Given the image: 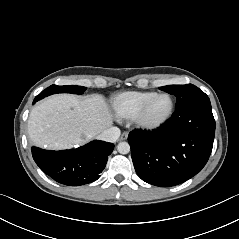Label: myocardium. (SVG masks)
Masks as SVG:
<instances>
[{"label": "myocardium", "mask_w": 239, "mask_h": 239, "mask_svg": "<svg viewBox=\"0 0 239 239\" xmlns=\"http://www.w3.org/2000/svg\"><path fill=\"white\" fill-rule=\"evenodd\" d=\"M167 97L169 100V108L168 111L166 112V114L161 117L158 120H149L147 118V111L151 105V103L159 98V97ZM174 108H175V104H174V100L172 98V96L168 93L165 92H161V93H155L153 94L151 97H149L138 109V111L136 112V114L133 117V120L135 122V124L144 130H156L161 128L162 126H164L172 117L173 113H174Z\"/></svg>", "instance_id": "myocardium-1"}]
</instances>
